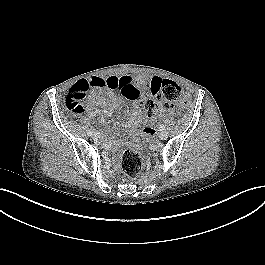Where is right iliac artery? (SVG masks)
Wrapping results in <instances>:
<instances>
[{"instance_id":"right-iliac-artery-1","label":"right iliac artery","mask_w":265,"mask_h":265,"mask_svg":"<svg viewBox=\"0 0 265 265\" xmlns=\"http://www.w3.org/2000/svg\"><path fill=\"white\" fill-rule=\"evenodd\" d=\"M87 135H88V136H92V135H93V131L89 129V130L87 131Z\"/></svg>"}]
</instances>
